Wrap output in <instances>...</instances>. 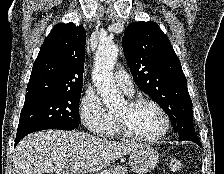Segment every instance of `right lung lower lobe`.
I'll return each instance as SVG.
<instances>
[{"label": "right lung lower lobe", "mask_w": 224, "mask_h": 174, "mask_svg": "<svg viewBox=\"0 0 224 174\" xmlns=\"http://www.w3.org/2000/svg\"><path fill=\"white\" fill-rule=\"evenodd\" d=\"M76 127H78V125H69V126H64V127H60V128H56V129H60V130H72L75 129ZM39 130H43V129H37V128H28V129H22L17 131V136H16V142L15 145L23 138L25 137L27 134L31 133V132H35V131H39Z\"/></svg>", "instance_id": "1"}]
</instances>
